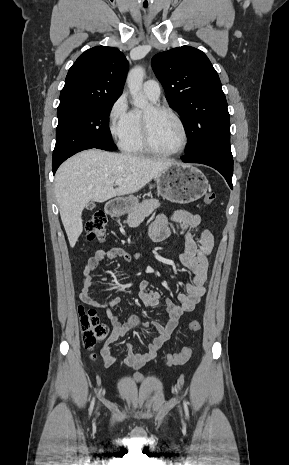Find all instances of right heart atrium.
I'll return each mask as SVG.
<instances>
[{"label": "right heart atrium", "instance_id": "1", "mask_svg": "<svg viewBox=\"0 0 289 465\" xmlns=\"http://www.w3.org/2000/svg\"><path fill=\"white\" fill-rule=\"evenodd\" d=\"M131 127V110L127 97L120 95L111 105L108 112V129L115 141L121 145Z\"/></svg>", "mask_w": 289, "mask_h": 465}]
</instances>
